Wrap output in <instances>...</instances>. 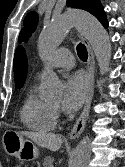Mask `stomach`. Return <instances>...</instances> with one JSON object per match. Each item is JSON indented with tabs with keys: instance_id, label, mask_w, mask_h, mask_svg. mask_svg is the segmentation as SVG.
I'll use <instances>...</instances> for the list:
<instances>
[{
	"instance_id": "stomach-1",
	"label": "stomach",
	"mask_w": 125,
	"mask_h": 167,
	"mask_svg": "<svg viewBox=\"0 0 125 167\" xmlns=\"http://www.w3.org/2000/svg\"><path fill=\"white\" fill-rule=\"evenodd\" d=\"M8 132L5 134L8 139L3 143L4 149L9 155L21 161H31L39 157V150L31 140L19 135L18 132Z\"/></svg>"
}]
</instances>
